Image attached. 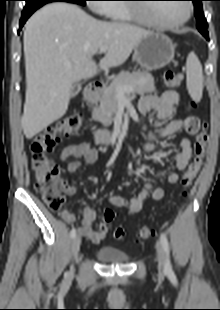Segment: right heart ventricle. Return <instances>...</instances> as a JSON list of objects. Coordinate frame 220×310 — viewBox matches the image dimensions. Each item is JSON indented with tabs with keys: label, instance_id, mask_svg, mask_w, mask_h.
<instances>
[{
	"label": "right heart ventricle",
	"instance_id": "obj_1",
	"mask_svg": "<svg viewBox=\"0 0 220 310\" xmlns=\"http://www.w3.org/2000/svg\"><path fill=\"white\" fill-rule=\"evenodd\" d=\"M107 7L104 8L103 14L114 20L119 22H135V21H141L137 19L134 14L132 13L131 9L127 5H121V4H106ZM146 23V22H145Z\"/></svg>",
	"mask_w": 220,
	"mask_h": 310
}]
</instances>
